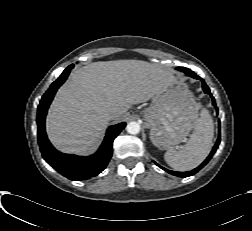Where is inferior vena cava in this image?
Returning a JSON list of instances; mask_svg holds the SVG:
<instances>
[{
  "mask_svg": "<svg viewBox=\"0 0 252 231\" xmlns=\"http://www.w3.org/2000/svg\"><path fill=\"white\" fill-rule=\"evenodd\" d=\"M112 115H113V111H110L109 112V117H112Z\"/></svg>",
  "mask_w": 252,
  "mask_h": 231,
  "instance_id": "1",
  "label": "inferior vena cava"
}]
</instances>
